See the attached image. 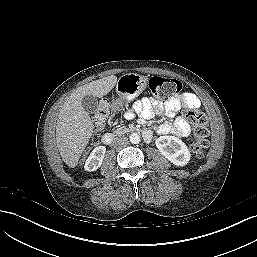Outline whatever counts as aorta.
<instances>
[{
    "instance_id": "obj_1",
    "label": "aorta",
    "mask_w": 257,
    "mask_h": 257,
    "mask_svg": "<svg viewBox=\"0 0 257 257\" xmlns=\"http://www.w3.org/2000/svg\"><path fill=\"white\" fill-rule=\"evenodd\" d=\"M129 139L132 144H139V142L141 141L140 135L138 133H132Z\"/></svg>"
}]
</instances>
